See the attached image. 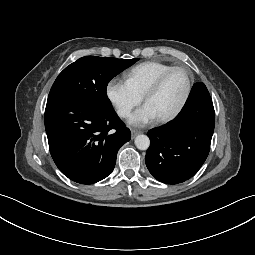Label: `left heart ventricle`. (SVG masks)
Returning a JSON list of instances; mask_svg holds the SVG:
<instances>
[{"label":"left heart ventricle","instance_id":"left-heart-ventricle-1","mask_svg":"<svg viewBox=\"0 0 255 255\" xmlns=\"http://www.w3.org/2000/svg\"><path fill=\"white\" fill-rule=\"evenodd\" d=\"M187 88V76L181 70L172 72L165 80L161 89L148 101L158 117L171 113L182 100Z\"/></svg>","mask_w":255,"mask_h":255}]
</instances>
